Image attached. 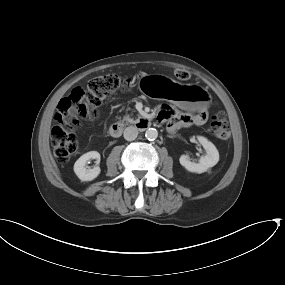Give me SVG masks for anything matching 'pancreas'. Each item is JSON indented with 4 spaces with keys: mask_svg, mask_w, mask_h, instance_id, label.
<instances>
[{
    "mask_svg": "<svg viewBox=\"0 0 285 285\" xmlns=\"http://www.w3.org/2000/svg\"><path fill=\"white\" fill-rule=\"evenodd\" d=\"M123 123H131V124H134L137 122V120H134L133 118H131L129 115H125L123 117V120H122Z\"/></svg>",
    "mask_w": 285,
    "mask_h": 285,
    "instance_id": "pancreas-1",
    "label": "pancreas"
}]
</instances>
